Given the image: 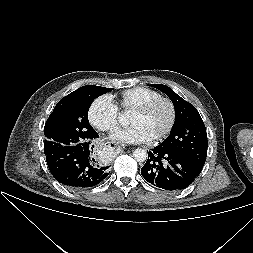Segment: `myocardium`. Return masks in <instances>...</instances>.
I'll use <instances>...</instances> for the list:
<instances>
[{"label": "myocardium", "instance_id": "f54148a6", "mask_svg": "<svg viewBox=\"0 0 253 253\" xmlns=\"http://www.w3.org/2000/svg\"><path fill=\"white\" fill-rule=\"evenodd\" d=\"M159 104H166L169 107L170 120L166 128L158 136L154 137L155 141H161L165 139L175 127L177 121V110L173 101L166 97H158L136 107L132 111L135 113H147Z\"/></svg>", "mask_w": 253, "mask_h": 253}]
</instances>
